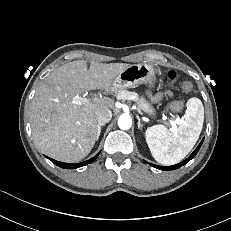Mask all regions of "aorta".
I'll use <instances>...</instances> for the list:
<instances>
[{
  "mask_svg": "<svg viewBox=\"0 0 231 231\" xmlns=\"http://www.w3.org/2000/svg\"><path fill=\"white\" fill-rule=\"evenodd\" d=\"M132 125V120L128 115H121L118 119V126L122 130H128Z\"/></svg>",
  "mask_w": 231,
  "mask_h": 231,
  "instance_id": "762f6f07",
  "label": "aorta"
}]
</instances>
